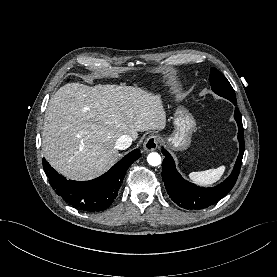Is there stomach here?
<instances>
[{
  "label": "stomach",
  "instance_id": "0dacf381",
  "mask_svg": "<svg viewBox=\"0 0 277 277\" xmlns=\"http://www.w3.org/2000/svg\"><path fill=\"white\" fill-rule=\"evenodd\" d=\"M174 133L167 139L174 149H187L191 143L192 133L196 128V122L191 113L185 108H178L174 116Z\"/></svg>",
  "mask_w": 277,
  "mask_h": 277
}]
</instances>
